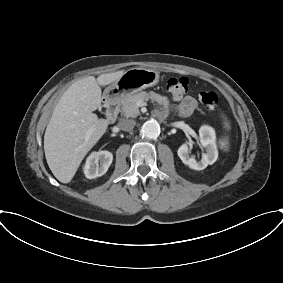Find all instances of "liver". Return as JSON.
I'll use <instances>...</instances> for the list:
<instances>
[{
    "label": "liver",
    "instance_id": "liver-1",
    "mask_svg": "<svg viewBox=\"0 0 283 283\" xmlns=\"http://www.w3.org/2000/svg\"><path fill=\"white\" fill-rule=\"evenodd\" d=\"M117 71L77 80L57 103L44 135V151L53 175L62 183L74 177L86 154L104 135L108 121L93 113L102 102L101 87L116 82Z\"/></svg>",
    "mask_w": 283,
    "mask_h": 283
}]
</instances>
